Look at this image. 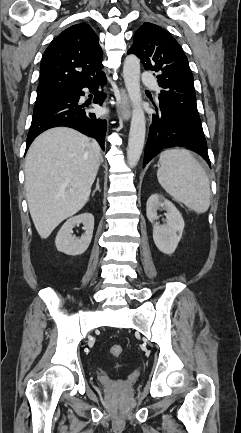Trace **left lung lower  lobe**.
Listing matches in <instances>:
<instances>
[{
    "label": "left lung lower lobe",
    "instance_id": "0a47b994",
    "mask_svg": "<svg viewBox=\"0 0 241 433\" xmlns=\"http://www.w3.org/2000/svg\"><path fill=\"white\" fill-rule=\"evenodd\" d=\"M174 146H184L195 151L210 166L204 135L186 125L171 110L159 105L150 120L143 166L164 149Z\"/></svg>",
    "mask_w": 241,
    "mask_h": 433
}]
</instances>
